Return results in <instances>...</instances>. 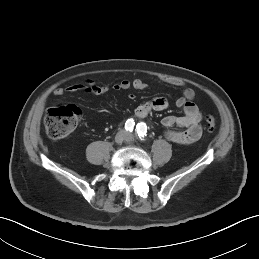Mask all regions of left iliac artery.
I'll use <instances>...</instances> for the list:
<instances>
[{
  "mask_svg": "<svg viewBox=\"0 0 259 259\" xmlns=\"http://www.w3.org/2000/svg\"><path fill=\"white\" fill-rule=\"evenodd\" d=\"M137 134L141 140H144L145 136L147 135V126L145 123L141 122L136 126Z\"/></svg>",
  "mask_w": 259,
  "mask_h": 259,
  "instance_id": "left-iliac-artery-1",
  "label": "left iliac artery"
}]
</instances>
